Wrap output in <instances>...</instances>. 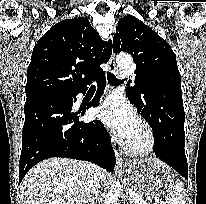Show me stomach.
Returning <instances> with one entry per match:
<instances>
[{
    "instance_id": "obj_1",
    "label": "stomach",
    "mask_w": 206,
    "mask_h": 204,
    "mask_svg": "<svg viewBox=\"0 0 206 204\" xmlns=\"http://www.w3.org/2000/svg\"><path fill=\"white\" fill-rule=\"evenodd\" d=\"M125 173L129 188L142 197H159L168 191L173 182L170 168L156 159L130 161L125 167Z\"/></svg>"
}]
</instances>
